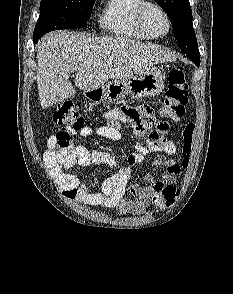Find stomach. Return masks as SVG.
Here are the masks:
<instances>
[{"mask_svg":"<svg viewBox=\"0 0 233 294\" xmlns=\"http://www.w3.org/2000/svg\"><path fill=\"white\" fill-rule=\"evenodd\" d=\"M164 80L165 73L156 67H150L128 78L108 82L96 90L84 93L97 103L112 104L127 96L141 99L159 95L164 89Z\"/></svg>","mask_w":233,"mask_h":294,"instance_id":"obj_1","label":"stomach"}]
</instances>
